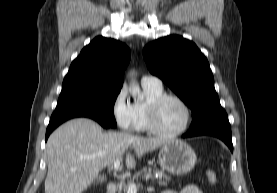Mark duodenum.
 Masks as SVG:
<instances>
[{"instance_id": "duodenum-1", "label": "duodenum", "mask_w": 277, "mask_h": 193, "mask_svg": "<svg viewBox=\"0 0 277 193\" xmlns=\"http://www.w3.org/2000/svg\"><path fill=\"white\" fill-rule=\"evenodd\" d=\"M118 189V186L115 182H110L108 183L107 187H106V192L107 193H116Z\"/></svg>"}]
</instances>
